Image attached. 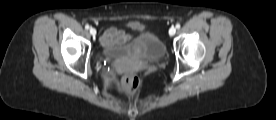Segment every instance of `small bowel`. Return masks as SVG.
Wrapping results in <instances>:
<instances>
[{"label":"small bowel","mask_w":276,"mask_h":120,"mask_svg":"<svg viewBox=\"0 0 276 120\" xmlns=\"http://www.w3.org/2000/svg\"><path fill=\"white\" fill-rule=\"evenodd\" d=\"M127 38L128 36L124 31L118 30L116 28H109L104 32L102 36V42L109 45L112 43L125 41Z\"/></svg>","instance_id":"small-bowel-1"}]
</instances>
